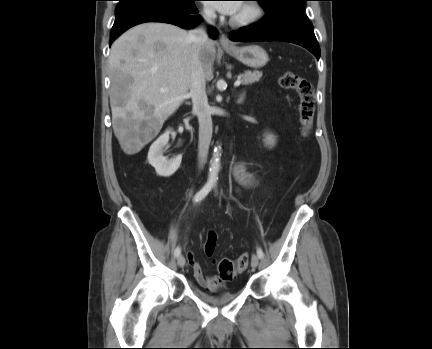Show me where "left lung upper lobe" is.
<instances>
[{"label": "left lung upper lobe", "instance_id": "5c2ea615", "mask_svg": "<svg viewBox=\"0 0 432 349\" xmlns=\"http://www.w3.org/2000/svg\"><path fill=\"white\" fill-rule=\"evenodd\" d=\"M259 1L266 12H270L274 9L284 11H295L304 13V1L307 0H256Z\"/></svg>", "mask_w": 432, "mask_h": 349}]
</instances>
